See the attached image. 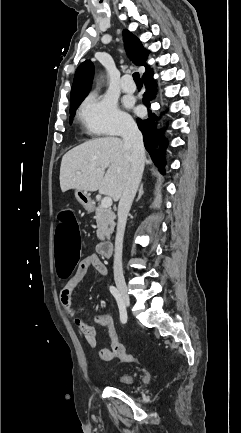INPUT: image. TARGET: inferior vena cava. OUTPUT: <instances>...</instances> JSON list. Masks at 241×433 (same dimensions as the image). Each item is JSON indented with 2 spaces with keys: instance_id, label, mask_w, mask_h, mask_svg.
<instances>
[{
  "instance_id": "obj_1",
  "label": "inferior vena cava",
  "mask_w": 241,
  "mask_h": 433,
  "mask_svg": "<svg viewBox=\"0 0 241 433\" xmlns=\"http://www.w3.org/2000/svg\"><path fill=\"white\" fill-rule=\"evenodd\" d=\"M121 135L124 144L131 151V170L118 204V222L115 238L113 266L115 280H124L122 269L124 232L127 222V215L130 211L132 202L142 179L145 161V148L143 143V137L137 127V124L132 120L127 121L123 126Z\"/></svg>"
}]
</instances>
